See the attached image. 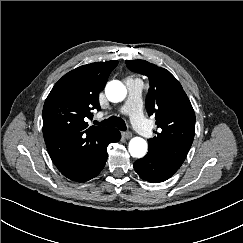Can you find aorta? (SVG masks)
I'll return each instance as SVG.
<instances>
[{"label": "aorta", "mask_w": 243, "mask_h": 243, "mask_svg": "<svg viewBox=\"0 0 243 243\" xmlns=\"http://www.w3.org/2000/svg\"><path fill=\"white\" fill-rule=\"evenodd\" d=\"M105 94L109 101L117 103L125 99L127 90L122 82L114 80L106 85ZM147 148V142L143 138L134 137L129 142L128 150L132 157L141 158L146 154Z\"/></svg>", "instance_id": "obj_1"}]
</instances>
